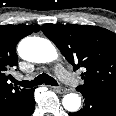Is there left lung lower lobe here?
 <instances>
[{
    "label": "left lung lower lobe",
    "instance_id": "1",
    "mask_svg": "<svg viewBox=\"0 0 116 116\" xmlns=\"http://www.w3.org/2000/svg\"><path fill=\"white\" fill-rule=\"evenodd\" d=\"M78 91L85 99L84 106L78 112L69 113V116H116V94L95 90Z\"/></svg>",
    "mask_w": 116,
    "mask_h": 116
}]
</instances>
